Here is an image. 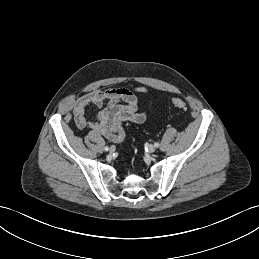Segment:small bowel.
<instances>
[{
	"label": "small bowel",
	"mask_w": 259,
	"mask_h": 259,
	"mask_svg": "<svg viewBox=\"0 0 259 259\" xmlns=\"http://www.w3.org/2000/svg\"><path fill=\"white\" fill-rule=\"evenodd\" d=\"M138 92H147L140 88ZM93 104L101 109L95 120L87 119L85 109ZM73 116L79 129H91L112 142L125 138V124H142L147 119L145 112L138 111L136 94L127 88H108L90 91L73 101Z\"/></svg>",
	"instance_id": "small-bowel-1"
}]
</instances>
